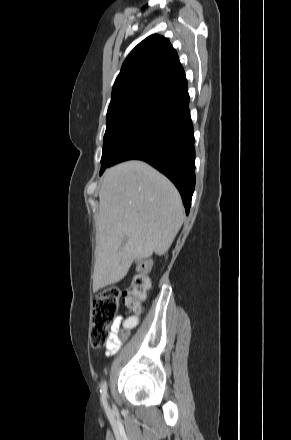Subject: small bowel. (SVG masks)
<instances>
[{
    "mask_svg": "<svg viewBox=\"0 0 291 440\" xmlns=\"http://www.w3.org/2000/svg\"><path fill=\"white\" fill-rule=\"evenodd\" d=\"M137 324H138V318L136 316L118 317L110 328L109 343L106 345L105 348L106 354L110 355L118 351L119 349L118 333L121 327L125 329H130L137 326Z\"/></svg>",
    "mask_w": 291,
    "mask_h": 440,
    "instance_id": "small-bowel-1",
    "label": "small bowel"
}]
</instances>
